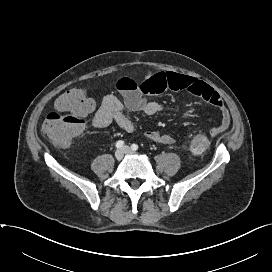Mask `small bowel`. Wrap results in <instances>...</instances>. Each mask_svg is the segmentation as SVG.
<instances>
[{
  "label": "small bowel",
  "mask_w": 272,
  "mask_h": 272,
  "mask_svg": "<svg viewBox=\"0 0 272 272\" xmlns=\"http://www.w3.org/2000/svg\"><path fill=\"white\" fill-rule=\"evenodd\" d=\"M117 89L123 100L115 95L104 97L100 107L94 113L92 123L96 128H106L113 122L126 132L134 130L133 122L125 114V110L155 115L163 110V106L148 97L167 90H185L215 107L221 115L220 124L210 131L212 136L224 132L230 124L229 112L220 95L208 84L196 78L175 72H152L144 74L141 81L130 77H122L117 81ZM145 136L157 143L170 145L175 142L171 134L148 131Z\"/></svg>",
  "instance_id": "1"
}]
</instances>
